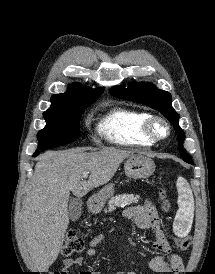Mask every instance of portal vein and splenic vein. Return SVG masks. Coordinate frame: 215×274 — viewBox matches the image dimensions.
<instances>
[{
	"label": "portal vein and splenic vein",
	"instance_id": "1",
	"mask_svg": "<svg viewBox=\"0 0 215 274\" xmlns=\"http://www.w3.org/2000/svg\"><path fill=\"white\" fill-rule=\"evenodd\" d=\"M88 174H89V172H84V173H83V177H84V178H87V177H88Z\"/></svg>",
	"mask_w": 215,
	"mask_h": 274
}]
</instances>
